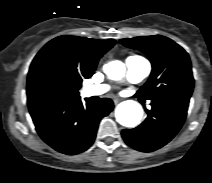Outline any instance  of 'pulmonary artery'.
I'll use <instances>...</instances> for the list:
<instances>
[{
    "instance_id": "pulmonary-artery-1",
    "label": "pulmonary artery",
    "mask_w": 212,
    "mask_h": 183,
    "mask_svg": "<svg viewBox=\"0 0 212 183\" xmlns=\"http://www.w3.org/2000/svg\"><path fill=\"white\" fill-rule=\"evenodd\" d=\"M126 76L129 82L139 83L145 79L150 71L151 64L148 60L141 56H130L125 61ZM109 90V86L106 84L91 85L83 89V94L86 97L100 96Z\"/></svg>"
}]
</instances>
